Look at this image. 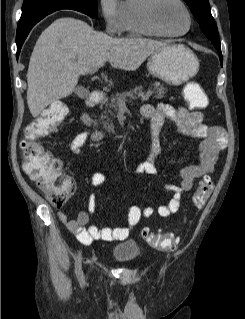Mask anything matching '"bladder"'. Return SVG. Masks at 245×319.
Masks as SVG:
<instances>
[{"instance_id": "bladder-1", "label": "bladder", "mask_w": 245, "mask_h": 319, "mask_svg": "<svg viewBox=\"0 0 245 319\" xmlns=\"http://www.w3.org/2000/svg\"><path fill=\"white\" fill-rule=\"evenodd\" d=\"M112 256L118 262H134L140 256V248L135 240L126 238L114 246Z\"/></svg>"}]
</instances>
